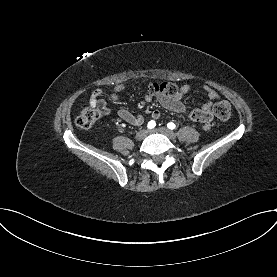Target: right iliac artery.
I'll use <instances>...</instances> for the list:
<instances>
[{
    "instance_id": "right-iliac-artery-1",
    "label": "right iliac artery",
    "mask_w": 277,
    "mask_h": 277,
    "mask_svg": "<svg viewBox=\"0 0 277 277\" xmlns=\"http://www.w3.org/2000/svg\"><path fill=\"white\" fill-rule=\"evenodd\" d=\"M155 125H156L155 121L151 120V121L148 123L147 127H148L149 129H152V128L155 127Z\"/></svg>"
}]
</instances>
